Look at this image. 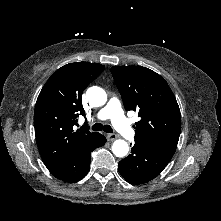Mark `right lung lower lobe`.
<instances>
[{
  "instance_id": "obj_1",
  "label": "right lung lower lobe",
  "mask_w": 221,
  "mask_h": 221,
  "mask_svg": "<svg viewBox=\"0 0 221 221\" xmlns=\"http://www.w3.org/2000/svg\"><path fill=\"white\" fill-rule=\"evenodd\" d=\"M105 143L106 138L97 133L89 146L74 152L62 163L48 170L53 176L62 181L77 182L83 179L90 169L91 152Z\"/></svg>"
}]
</instances>
